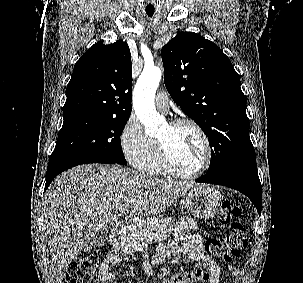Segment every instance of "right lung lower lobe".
I'll return each mask as SVG.
<instances>
[{"label":"right lung lower lobe","instance_id":"right-lung-lower-lobe-1","mask_svg":"<svg viewBox=\"0 0 303 283\" xmlns=\"http://www.w3.org/2000/svg\"><path fill=\"white\" fill-rule=\"evenodd\" d=\"M87 163H106V164H117L114 161L111 160H104V159H77V160H68V161H60L57 163L49 164L46 174V184H45V190L48 188L52 180L61 172L77 166L81 164H87Z\"/></svg>","mask_w":303,"mask_h":283}]
</instances>
